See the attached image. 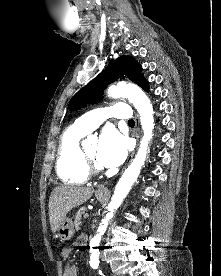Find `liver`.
Masks as SVG:
<instances>
[{
    "instance_id": "6515ba94",
    "label": "liver",
    "mask_w": 221,
    "mask_h": 276,
    "mask_svg": "<svg viewBox=\"0 0 221 276\" xmlns=\"http://www.w3.org/2000/svg\"><path fill=\"white\" fill-rule=\"evenodd\" d=\"M94 193L91 187L62 185L54 188L49 198V221L53 233L73 208L85 203Z\"/></svg>"
}]
</instances>
